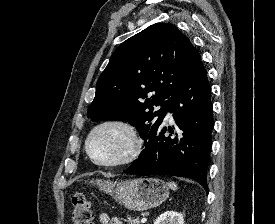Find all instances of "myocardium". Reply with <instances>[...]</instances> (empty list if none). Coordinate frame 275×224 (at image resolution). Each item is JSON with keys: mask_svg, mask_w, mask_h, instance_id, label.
<instances>
[{"mask_svg": "<svg viewBox=\"0 0 275 224\" xmlns=\"http://www.w3.org/2000/svg\"><path fill=\"white\" fill-rule=\"evenodd\" d=\"M108 126H116V127H120L122 129H124L130 138L131 148L125 157H123L119 160H116V161H112V162H103V161H99L98 159H96V157L92 154V152L90 150V141H91V138L93 137V135L97 131H99L100 129H102L104 127H108ZM141 146H142V142H141V139H140L135 127L128 121L123 120V119H118V118L106 119V120L99 122L89 131V133L86 137V140H85V151H86L88 157L90 158V160L95 165L100 166V167H105V168L120 167V166H124V165H127V164L133 162L138 157V155L141 151Z\"/></svg>", "mask_w": 275, "mask_h": 224, "instance_id": "myocardium-1", "label": "myocardium"}]
</instances>
